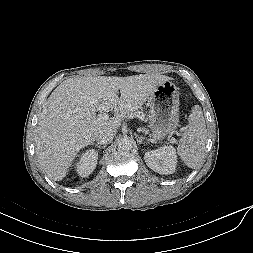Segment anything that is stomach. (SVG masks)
<instances>
[{"instance_id": "0dacf381", "label": "stomach", "mask_w": 253, "mask_h": 253, "mask_svg": "<svg viewBox=\"0 0 253 253\" xmlns=\"http://www.w3.org/2000/svg\"><path fill=\"white\" fill-rule=\"evenodd\" d=\"M148 104V127L155 138L163 140L179 125V94L176 85L171 81L158 85L153 96L148 99Z\"/></svg>"}]
</instances>
